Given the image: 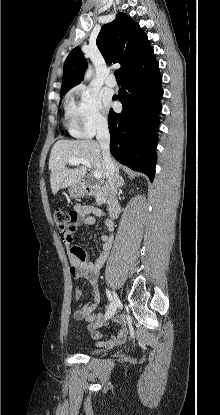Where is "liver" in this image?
Returning a JSON list of instances; mask_svg holds the SVG:
<instances>
[{"label": "liver", "mask_w": 220, "mask_h": 415, "mask_svg": "<svg viewBox=\"0 0 220 415\" xmlns=\"http://www.w3.org/2000/svg\"><path fill=\"white\" fill-rule=\"evenodd\" d=\"M70 158H82L89 161L92 167L101 173L102 179L106 178L102 149L97 141L91 139L59 140L53 145L49 158L50 185L53 194L61 188L80 183L86 174L87 168L83 164H77L73 169L67 168ZM113 163L116 171H119L120 165L115 161Z\"/></svg>", "instance_id": "1"}]
</instances>
